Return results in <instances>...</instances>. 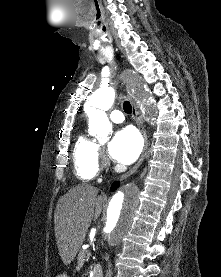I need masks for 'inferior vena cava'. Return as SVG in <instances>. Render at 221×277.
<instances>
[{
	"mask_svg": "<svg viewBox=\"0 0 221 277\" xmlns=\"http://www.w3.org/2000/svg\"><path fill=\"white\" fill-rule=\"evenodd\" d=\"M106 277H112V271H111V270H108V271H107Z\"/></svg>",
	"mask_w": 221,
	"mask_h": 277,
	"instance_id": "602c4592",
	"label": "inferior vena cava"
}]
</instances>
